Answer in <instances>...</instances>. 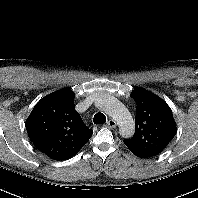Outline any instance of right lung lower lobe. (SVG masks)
Masks as SVG:
<instances>
[{
    "mask_svg": "<svg viewBox=\"0 0 198 198\" xmlns=\"http://www.w3.org/2000/svg\"><path fill=\"white\" fill-rule=\"evenodd\" d=\"M72 156H74V155L67 156V157H65V158H62V159H59V160H65V159H69V158H71Z\"/></svg>",
    "mask_w": 198,
    "mask_h": 198,
    "instance_id": "98d812e1",
    "label": "right lung lower lobe"
}]
</instances>
